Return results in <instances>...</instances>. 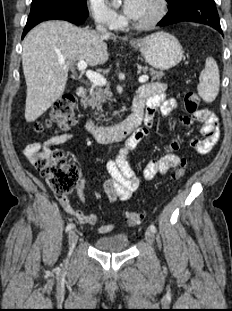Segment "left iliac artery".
<instances>
[{
	"label": "left iliac artery",
	"instance_id": "obj_1",
	"mask_svg": "<svg viewBox=\"0 0 232 311\" xmlns=\"http://www.w3.org/2000/svg\"><path fill=\"white\" fill-rule=\"evenodd\" d=\"M149 229L152 231V232H156V227H155V225L154 224H151L150 226H149Z\"/></svg>",
	"mask_w": 232,
	"mask_h": 311
}]
</instances>
